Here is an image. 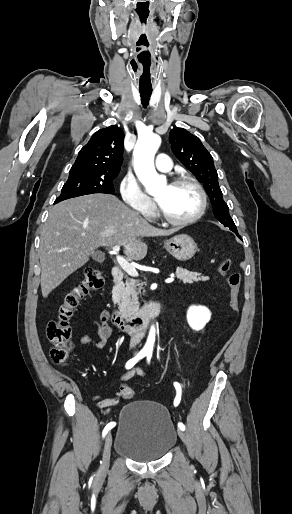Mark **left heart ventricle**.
I'll use <instances>...</instances> for the list:
<instances>
[{
  "label": "left heart ventricle",
  "mask_w": 292,
  "mask_h": 514,
  "mask_svg": "<svg viewBox=\"0 0 292 514\" xmlns=\"http://www.w3.org/2000/svg\"><path fill=\"white\" fill-rule=\"evenodd\" d=\"M155 196L165 213L174 219L190 217L197 210L199 204L197 192L188 185L177 187L166 185Z\"/></svg>",
  "instance_id": "left-heart-ventricle-1"
}]
</instances>
